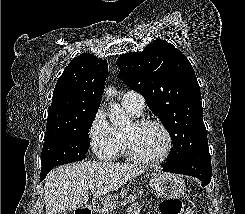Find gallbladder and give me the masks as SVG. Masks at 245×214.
<instances>
[{
    "instance_id": "1",
    "label": "gallbladder",
    "mask_w": 245,
    "mask_h": 214,
    "mask_svg": "<svg viewBox=\"0 0 245 214\" xmlns=\"http://www.w3.org/2000/svg\"><path fill=\"white\" fill-rule=\"evenodd\" d=\"M57 214H67L66 211L58 212Z\"/></svg>"
}]
</instances>
